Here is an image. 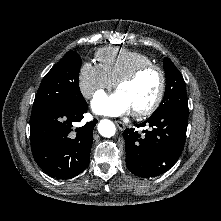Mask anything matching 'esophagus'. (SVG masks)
Returning a JSON list of instances; mask_svg holds the SVG:
<instances>
[{
    "label": "esophagus",
    "mask_w": 221,
    "mask_h": 221,
    "mask_svg": "<svg viewBox=\"0 0 221 221\" xmlns=\"http://www.w3.org/2000/svg\"><path fill=\"white\" fill-rule=\"evenodd\" d=\"M115 124L117 125V127L119 128V130L123 131L126 126L124 123H122L121 121H115Z\"/></svg>",
    "instance_id": "obj_1"
}]
</instances>
